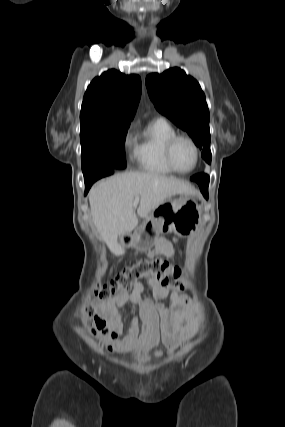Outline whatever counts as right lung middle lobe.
<instances>
[{
    "instance_id": "1",
    "label": "right lung middle lobe",
    "mask_w": 285,
    "mask_h": 427,
    "mask_svg": "<svg viewBox=\"0 0 285 427\" xmlns=\"http://www.w3.org/2000/svg\"><path fill=\"white\" fill-rule=\"evenodd\" d=\"M130 122H81L82 171L85 179L126 167L124 142Z\"/></svg>"
}]
</instances>
